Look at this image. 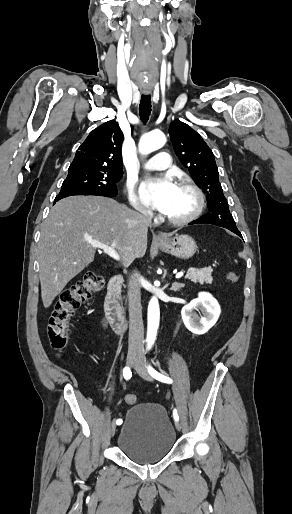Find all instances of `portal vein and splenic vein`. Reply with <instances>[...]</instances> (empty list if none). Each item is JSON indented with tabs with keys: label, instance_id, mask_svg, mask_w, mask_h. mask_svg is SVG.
<instances>
[{
	"label": "portal vein and splenic vein",
	"instance_id": "1",
	"mask_svg": "<svg viewBox=\"0 0 292 514\" xmlns=\"http://www.w3.org/2000/svg\"><path fill=\"white\" fill-rule=\"evenodd\" d=\"M93 246L101 248L104 254H108V256H111V258H114V260H120L119 254H117L116 250H114V248H111V246H104V244H93ZM181 276H183V272H179V274H176V278H181Z\"/></svg>",
	"mask_w": 292,
	"mask_h": 514
}]
</instances>
